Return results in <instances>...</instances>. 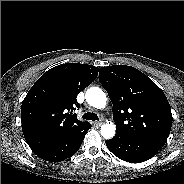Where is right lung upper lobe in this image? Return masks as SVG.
<instances>
[{
  "label": "right lung upper lobe",
  "mask_w": 184,
  "mask_h": 184,
  "mask_svg": "<svg viewBox=\"0 0 184 184\" xmlns=\"http://www.w3.org/2000/svg\"><path fill=\"white\" fill-rule=\"evenodd\" d=\"M98 68L66 63L45 72L22 102L23 135L31 149L72 139L91 128L73 113L80 107L77 94L97 77Z\"/></svg>",
  "instance_id": "obj_1"
}]
</instances>
